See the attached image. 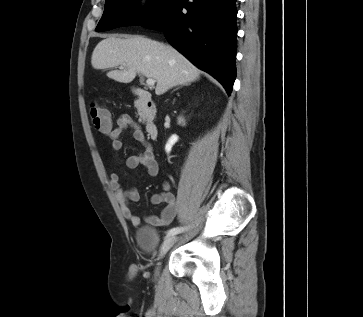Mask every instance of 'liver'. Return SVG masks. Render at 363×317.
Wrapping results in <instances>:
<instances>
[{
    "instance_id": "liver-1",
    "label": "liver",
    "mask_w": 363,
    "mask_h": 317,
    "mask_svg": "<svg viewBox=\"0 0 363 317\" xmlns=\"http://www.w3.org/2000/svg\"><path fill=\"white\" fill-rule=\"evenodd\" d=\"M91 64L94 69L123 66L107 73L121 83H130L137 73L152 78L157 82L156 95L200 77V70L172 46L141 36L103 39L92 53Z\"/></svg>"
}]
</instances>
